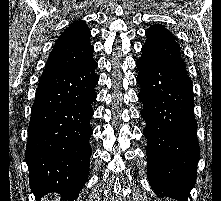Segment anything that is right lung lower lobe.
Listing matches in <instances>:
<instances>
[{
  "instance_id": "98d812e1",
  "label": "right lung lower lobe",
  "mask_w": 221,
  "mask_h": 201,
  "mask_svg": "<svg viewBox=\"0 0 221 201\" xmlns=\"http://www.w3.org/2000/svg\"><path fill=\"white\" fill-rule=\"evenodd\" d=\"M97 66L95 62L82 69H45L41 75L25 152L37 199L59 193L62 201H74L86 182Z\"/></svg>"
}]
</instances>
